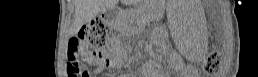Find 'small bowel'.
I'll return each instance as SVG.
<instances>
[{
  "mask_svg": "<svg viewBox=\"0 0 258 77\" xmlns=\"http://www.w3.org/2000/svg\"><path fill=\"white\" fill-rule=\"evenodd\" d=\"M113 54L111 52L95 53L90 55L88 61L95 65L98 71L109 68L112 64Z\"/></svg>",
  "mask_w": 258,
  "mask_h": 77,
  "instance_id": "small-bowel-1",
  "label": "small bowel"
}]
</instances>
